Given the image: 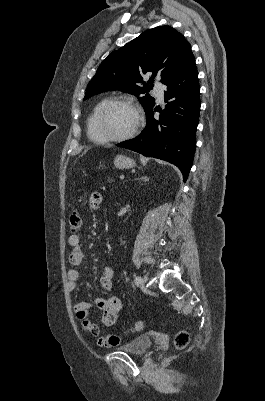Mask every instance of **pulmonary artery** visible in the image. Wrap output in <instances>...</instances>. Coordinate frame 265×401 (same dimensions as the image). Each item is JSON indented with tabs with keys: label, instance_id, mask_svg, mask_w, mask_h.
Segmentation results:
<instances>
[{
	"label": "pulmonary artery",
	"instance_id": "e3ab8cb5",
	"mask_svg": "<svg viewBox=\"0 0 265 401\" xmlns=\"http://www.w3.org/2000/svg\"><path fill=\"white\" fill-rule=\"evenodd\" d=\"M155 88H160V83H155ZM155 94L157 99L162 102L163 101V90L162 89H155Z\"/></svg>",
	"mask_w": 265,
	"mask_h": 401
}]
</instances>
